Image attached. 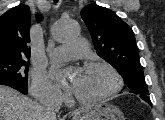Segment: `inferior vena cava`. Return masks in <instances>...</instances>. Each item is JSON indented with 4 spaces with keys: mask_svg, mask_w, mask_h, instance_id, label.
Wrapping results in <instances>:
<instances>
[{
    "mask_svg": "<svg viewBox=\"0 0 165 120\" xmlns=\"http://www.w3.org/2000/svg\"><path fill=\"white\" fill-rule=\"evenodd\" d=\"M42 120H56V112L59 110L61 101L53 95H43L40 99Z\"/></svg>",
    "mask_w": 165,
    "mask_h": 120,
    "instance_id": "1",
    "label": "inferior vena cava"
}]
</instances>
